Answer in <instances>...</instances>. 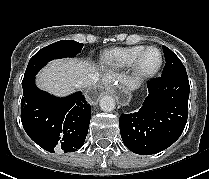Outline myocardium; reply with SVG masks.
Here are the masks:
<instances>
[{
    "mask_svg": "<svg viewBox=\"0 0 209 179\" xmlns=\"http://www.w3.org/2000/svg\"><path fill=\"white\" fill-rule=\"evenodd\" d=\"M151 49H155L159 52V57H160L159 63L154 69H152L150 71H143L140 68V63H141L142 57L144 56V54L147 51H149ZM163 62H164V57H163V53L160 48H158L156 46L145 47L143 50H141L137 54V56L134 58L132 64L130 65V70H131V74H132L134 81L136 83H142L144 81L151 79L160 71V69L162 68Z\"/></svg>",
    "mask_w": 209,
    "mask_h": 179,
    "instance_id": "obj_1",
    "label": "myocardium"
}]
</instances>
